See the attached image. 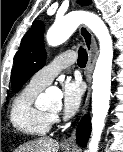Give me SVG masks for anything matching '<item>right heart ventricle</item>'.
<instances>
[{
  "instance_id": "1",
  "label": "right heart ventricle",
  "mask_w": 123,
  "mask_h": 152,
  "mask_svg": "<svg viewBox=\"0 0 123 152\" xmlns=\"http://www.w3.org/2000/svg\"><path fill=\"white\" fill-rule=\"evenodd\" d=\"M41 90V88L27 85L12 104L11 123L14 128L28 136H45L52 125V116L34 105Z\"/></svg>"
}]
</instances>
